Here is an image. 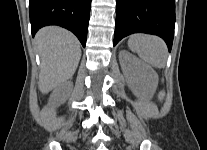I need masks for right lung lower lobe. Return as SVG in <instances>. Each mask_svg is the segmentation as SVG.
Wrapping results in <instances>:
<instances>
[{
    "label": "right lung lower lobe",
    "instance_id": "98d812e1",
    "mask_svg": "<svg viewBox=\"0 0 207 150\" xmlns=\"http://www.w3.org/2000/svg\"><path fill=\"white\" fill-rule=\"evenodd\" d=\"M91 0H30L32 35L47 25H59L86 44Z\"/></svg>",
    "mask_w": 207,
    "mask_h": 150
}]
</instances>
